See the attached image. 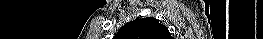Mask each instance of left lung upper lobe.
I'll return each instance as SVG.
<instances>
[{"label":"left lung upper lobe","instance_id":"obj_1","mask_svg":"<svg viewBox=\"0 0 263 39\" xmlns=\"http://www.w3.org/2000/svg\"><path fill=\"white\" fill-rule=\"evenodd\" d=\"M115 39H172L165 25L155 18L148 17L133 20L124 25Z\"/></svg>","mask_w":263,"mask_h":39}]
</instances>
